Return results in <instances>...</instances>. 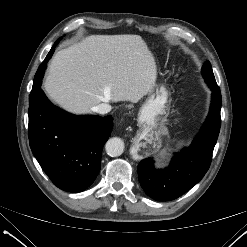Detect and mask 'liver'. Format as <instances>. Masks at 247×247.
I'll use <instances>...</instances> for the list:
<instances>
[{"mask_svg":"<svg viewBox=\"0 0 247 247\" xmlns=\"http://www.w3.org/2000/svg\"><path fill=\"white\" fill-rule=\"evenodd\" d=\"M157 65L139 35H91L52 58L44 88L73 114L101 102H138L156 86Z\"/></svg>","mask_w":247,"mask_h":247,"instance_id":"6515ba94","label":"liver"}]
</instances>
